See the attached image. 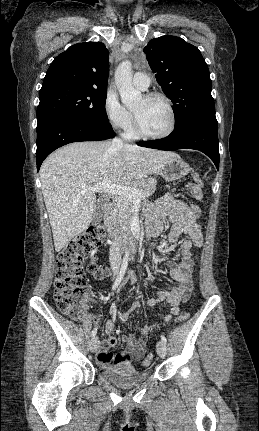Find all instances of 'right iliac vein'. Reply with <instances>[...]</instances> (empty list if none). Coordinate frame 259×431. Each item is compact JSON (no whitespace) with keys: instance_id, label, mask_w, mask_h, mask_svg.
<instances>
[{"instance_id":"63e3f726","label":"right iliac vein","mask_w":259,"mask_h":431,"mask_svg":"<svg viewBox=\"0 0 259 431\" xmlns=\"http://www.w3.org/2000/svg\"><path fill=\"white\" fill-rule=\"evenodd\" d=\"M98 348V338L97 337H93L91 342H90V350L92 353H94Z\"/></svg>"}]
</instances>
